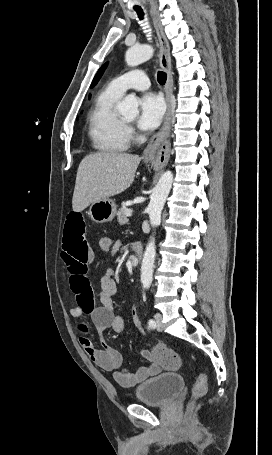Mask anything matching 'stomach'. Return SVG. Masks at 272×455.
I'll return each instance as SVG.
<instances>
[{
    "instance_id": "stomach-1",
    "label": "stomach",
    "mask_w": 272,
    "mask_h": 455,
    "mask_svg": "<svg viewBox=\"0 0 272 455\" xmlns=\"http://www.w3.org/2000/svg\"><path fill=\"white\" fill-rule=\"evenodd\" d=\"M116 204L112 199L96 201L91 204L88 214L96 223H105L113 220L116 214Z\"/></svg>"
}]
</instances>
